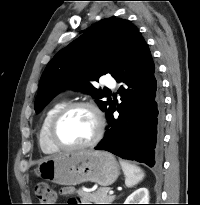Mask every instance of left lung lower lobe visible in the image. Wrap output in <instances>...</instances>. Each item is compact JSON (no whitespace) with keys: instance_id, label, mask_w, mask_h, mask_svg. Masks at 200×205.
<instances>
[{"instance_id":"1","label":"left lung lower lobe","mask_w":200,"mask_h":205,"mask_svg":"<svg viewBox=\"0 0 200 205\" xmlns=\"http://www.w3.org/2000/svg\"><path fill=\"white\" fill-rule=\"evenodd\" d=\"M113 77L123 83L122 102L108 108L109 126L96 150L121 158L159 166L162 159L164 101L150 50L139 32L115 69ZM119 112L118 117L113 113Z\"/></svg>"}]
</instances>
